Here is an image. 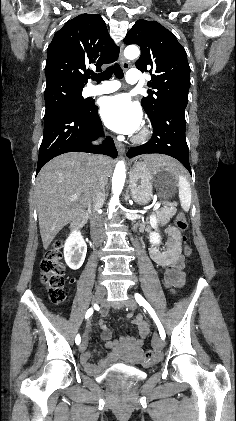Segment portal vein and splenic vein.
<instances>
[{
	"mask_svg": "<svg viewBox=\"0 0 236 421\" xmlns=\"http://www.w3.org/2000/svg\"><path fill=\"white\" fill-rule=\"evenodd\" d=\"M71 198L72 200H77L78 196L77 194H72ZM160 205H161V202L157 201L155 206H153V211H157V208H159Z\"/></svg>",
	"mask_w": 236,
	"mask_h": 421,
	"instance_id": "portal-vein-and-splenic-vein-1",
	"label": "portal vein and splenic vein"
}]
</instances>
